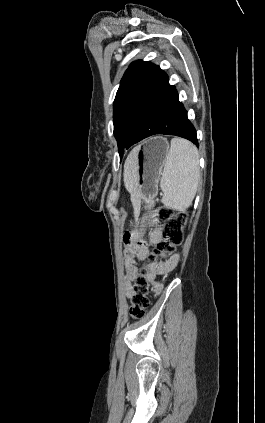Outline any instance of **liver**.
Segmentation results:
<instances>
[{"label": "liver", "instance_id": "liver-1", "mask_svg": "<svg viewBox=\"0 0 265 423\" xmlns=\"http://www.w3.org/2000/svg\"><path fill=\"white\" fill-rule=\"evenodd\" d=\"M136 164L134 160L133 152L128 156L124 166V181L127 185H131L136 182Z\"/></svg>", "mask_w": 265, "mask_h": 423}]
</instances>
